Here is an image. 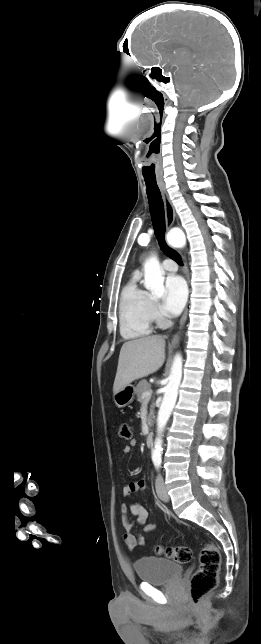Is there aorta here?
Wrapping results in <instances>:
<instances>
[{"mask_svg": "<svg viewBox=\"0 0 261 644\" xmlns=\"http://www.w3.org/2000/svg\"><path fill=\"white\" fill-rule=\"evenodd\" d=\"M168 241L171 244H179L185 241V236L181 231L171 230L168 234ZM144 287L157 297L163 296L164 288V271L162 270L157 256L152 255L144 263ZM182 378V356L176 354L174 357L169 382L165 388L164 397L157 416V433L158 436L154 443L152 458H161L162 454V433L175 406L178 388Z\"/></svg>", "mask_w": 261, "mask_h": 644, "instance_id": "762f6f07", "label": "aorta"}]
</instances>
